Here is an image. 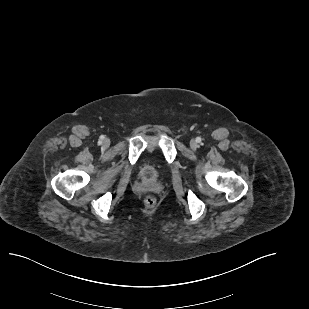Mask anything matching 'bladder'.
Masks as SVG:
<instances>
[{
	"mask_svg": "<svg viewBox=\"0 0 309 309\" xmlns=\"http://www.w3.org/2000/svg\"><path fill=\"white\" fill-rule=\"evenodd\" d=\"M157 168L152 164H146L142 168V176L147 180H154L158 177Z\"/></svg>",
	"mask_w": 309,
	"mask_h": 309,
	"instance_id": "bladder-1",
	"label": "bladder"
}]
</instances>
